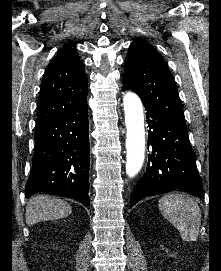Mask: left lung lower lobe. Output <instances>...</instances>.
Segmentation results:
<instances>
[{"label":"left lung lower lobe","mask_w":221,"mask_h":271,"mask_svg":"<svg viewBox=\"0 0 221 271\" xmlns=\"http://www.w3.org/2000/svg\"><path fill=\"white\" fill-rule=\"evenodd\" d=\"M122 90H126L122 87ZM148 123V150L152 147L146 172L135 186L130 208L140 199L180 189L200 197L203 184L196 167L186 126L144 105Z\"/></svg>","instance_id":"left-lung-lower-lobe-1"}]
</instances>
